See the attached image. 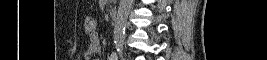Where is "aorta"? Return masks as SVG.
I'll use <instances>...</instances> for the list:
<instances>
[{"mask_svg":"<svg viewBox=\"0 0 267 60\" xmlns=\"http://www.w3.org/2000/svg\"><path fill=\"white\" fill-rule=\"evenodd\" d=\"M132 4L133 0H120L114 26V42L118 51L123 50L125 27Z\"/></svg>","mask_w":267,"mask_h":60,"instance_id":"762f6f07","label":"aorta"}]
</instances>
